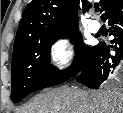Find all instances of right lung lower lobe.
Segmentation results:
<instances>
[{"label":"right lung lower lobe","instance_id":"obj_1","mask_svg":"<svg viewBox=\"0 0 123 113\" xmlns=\"http://www.w3.org/2000/svg\"><path fill=\"white\" fill-rule=\"evenodd\" d=\"M102 20H107L111 25L110 35L114 39L110 47L115 54L111 55L109 47L104 43L94 47L88 62L77 77L78 82L92 89H98L116 67L123 66V0H115Z\"/></svg>","mask_w":123,"mask_h":113}]
</instances>
